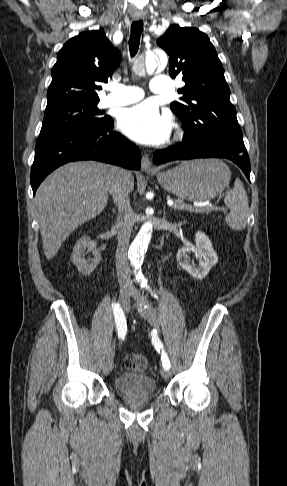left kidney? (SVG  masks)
<instances>
[{
    "instance_id": "5707ae66",
    "label": "left kidney",
    "mask_w": 287,
    "mask_h": 486,
    "mask_svg": "<svg viewBox=\"0 0 287 486\" xmlns=\"http://www.w3.org/2000/svg\"><path fill=\"white\" fill-rule=\"evenodd\" d=\"M196 247L193 249L200 257L199 265L195 266L191 263L188 253L191 249L181 248L177 253V262L188 272L192 277L202 280L207 276L210 269L218 262V256L212 247L210 239L201 231L195 233Z\"/></svg>"
}]
</instances>
